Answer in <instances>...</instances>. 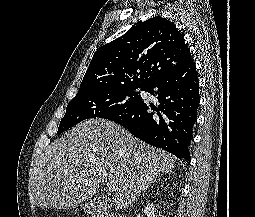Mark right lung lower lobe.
Masks as SVG:
<instances>
[{
    "mask_svg": "<svg viewBox=\"0 0 255 217\" xmlns=\"http://www.w3.org/2000/svg\"><path fill=\"white\" fill-rule=\"evenodd\" d=\"M145 91L157 96L158 107L142 100L128 112L109 120L126 127L132 135L146 143L190 162L188 146L200 102L199 80L193 59L151 82Z\"/></svg>",
    "mask_w": 255,
    "mask_h": 217,
    "instance_id": "obj_1",
    "label": "right lung lower lobe"
}]
</instances>
